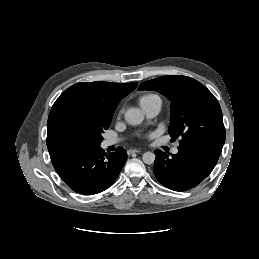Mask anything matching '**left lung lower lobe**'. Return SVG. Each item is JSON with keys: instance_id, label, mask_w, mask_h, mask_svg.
I'll use <instances>...</instances> for the list:
<instances>
[{"instance_id": "left-lung-lower-lobe-1", "label": "left lung lower lobe", "mask_w": 259, "mask_h": 259, "mask_svg": "<svg viewBox=\"0 0 259 259\" xmlns=\"http://www.w3.org/2000/svg\"><path fill=\"white\" fill-rule=\"evenodd\" d=\"M223 145L200 142L178 147L171 155L155 150L153 172L157 180L175 191L189 190L204 180L215 167Z\"/></svg>"}]
</instances>
